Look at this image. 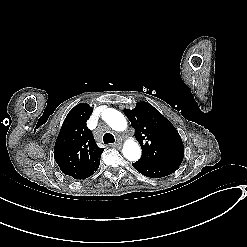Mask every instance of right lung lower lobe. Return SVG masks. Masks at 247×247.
I'll use <instances>...</instances> for the list:
<instances>
[{"mask_svg": "<svg viewBox=\"0 0 247 247\" xmlns=\"http://www.w3.org/2000/svg\"><path fill=\"white\" fill-rule=\"evenodd\" d=\"M98 167H99V166H98ZM98 167L96 168V170L98 169ZM96 170H95V171H96ZM95 171H94V172H95ZM94 172H93V173H94ZM93 173H92V174H93ZM92 174H91V175H92ZM91 175H90V176H91ZM88 177H89V176H88ZM88 177H87V178H88Z\"/></svg>", "mask_w": 247, "mask_h": 247, "instance_id": "98d812e1", "label": "right lung lower lobe"}]
</instances>
